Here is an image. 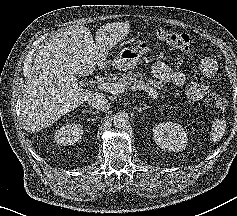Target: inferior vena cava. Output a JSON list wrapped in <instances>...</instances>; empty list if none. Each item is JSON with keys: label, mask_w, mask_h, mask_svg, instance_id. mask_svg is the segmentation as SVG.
Listing matches in <instances>:
<instances>
[{"label": "inferior vena cava", "mask_w": 237, "mask_h": 216, "mask_svg": "<svg viewBox=\"0 0 237 216\" xmlns=\"http://www.w3.org/2000/svg\"><path fill=\"white\" fill-rule=\"evenodd\" d=\"M87 101L90 107L95 110L104 112L110 109L109 100L104 93H94Z\"/></svg>", "instance_id": "inferior-vena-cava-1"}]
</instances>
